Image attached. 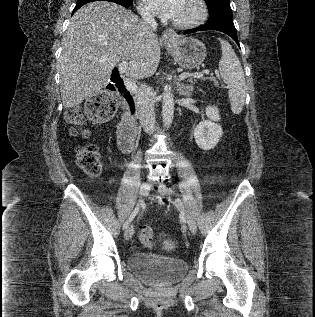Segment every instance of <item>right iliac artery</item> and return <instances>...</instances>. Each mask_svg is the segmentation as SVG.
I'll return each instance as SVG.
<instances>
[{
  "label": "right iliac artery",
  "instance_id": "1",
  "mask_svg": "<svg viewBox=\"0 0 315 317\" xmlns=\"http://www.w3.org/2000/svg\"><path fill=\"white\" fill-rule=\"evenodd\" d=\"M139 211H140V205L138 204L133 210V212L131 213V215L129 216V218L127 219V221L124 223L123 229H126L129 226V224L136 217Z\"/></svg>",
  "mask_w": 315,
  "mask_h": 317
}]
</instances>
